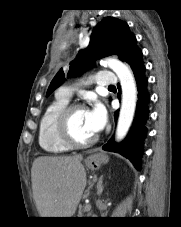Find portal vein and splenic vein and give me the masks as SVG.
Masks as SVG:
<instances>
[{
    "mask_svg": "<svg viewBox=\"0 0 181 227\" xmlns=\"http://www.w3.org/2000/svg\"><path fill=\"white\" fill-rule=\"evenodd\" d=\"M85 208H86L87 210H90V209H91V205H90L89 203H87V204L85 205Z\"/></svg>",
    "mask_w": 181,
    "mask_h": 227,
    "instance_id": "portal-vein-and-splenic-vein-1",
    "label": "portal vein and splenic vein"
}]
</instances>
